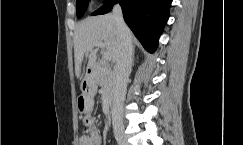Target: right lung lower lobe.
Listing matches in <instances>:
<instances>
[{"label": "right lung lower lobe", "instance_id": "98d812e1", "mask_svg": "<svg viewBox=\"0 0 243 145\" xmlns=\"http://www.w3.org/2000/svg\"><path fill=\"white\" fill-rule=\"evenodd\" d=\"M106 2L92 15L108 13L118 2L127 25L144 48L154 52L169 17L168 11L172 0H106Z\"/></svg>", "mask_w": 243, "mask_h": 145}]
</instances>
